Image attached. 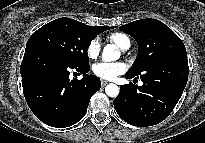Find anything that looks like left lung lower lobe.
<instances>
[{
  "instance_id": "0a47b994",
  "label": "left lung lower lobe",
  "mask_w": 205,
  "mask_h": 143,
  "mask_svg": "<svg viewBox=\"0 0 205 143\" xmlns=\"http://www.w3.org/2000/svg\"><path fill=\"white\" fill-rule=\"evenodd\" d=\"M189 68L186 53L158 60L140 75L126 73L128 79L143 81L120 87L113 104L117 114L127 123L146 127L162 122L178 103L188 80Z\"/></svg>"
}]
</instances>
